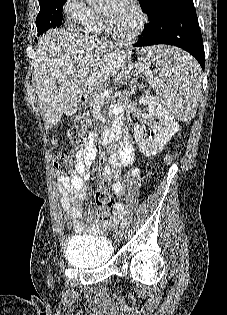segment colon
Masks as SVG:
<instances>
[{
  "instance_id": "colon-1",
  "label": "colon",
  "mask_w": 227,
  "mask_h": 315,
  "mask_svg": "<svg viewBox=\"0 0 227 315\" xmlns=\"http://www.w3.org/2000/svg\"><path fill=\"white\" fill-rule=\"evenodd\" d=\"M68 140L73 148L82 147L86 143L87 130L83 125L71 127L67 133ZM173 159L172 155L166 157V162ZM73 164V157L69 152L59 153L53 160V168L57 173H66ZM96 204L101 217H105L113 205V199L106 187H100L96 193Z\"/></svg>"
}]
</instances>
